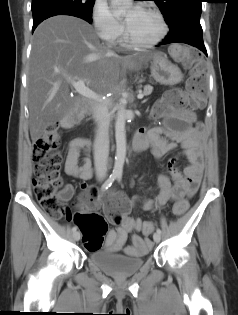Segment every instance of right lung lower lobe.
I'll return each mask as SVG.
<instances>
[{"label":"right lung lower lobe","mask_w":238,"mask_h":315,"mask_svg":"<svg viewBox=\"0 0 238 315\" xmlns=\"http://www.w3.org/2000/svg\"><path fill=\"white\" fill-rule=\"evenodd\" d=\"M33 13V28H35L45 19L55 16V15H71L75 17L82 18L89 23H92V16L86 15L78 10L62 7V6H45L40 7L32 11Z\"/></svg>","instance_id":"98d812e1"}]
</instances>
